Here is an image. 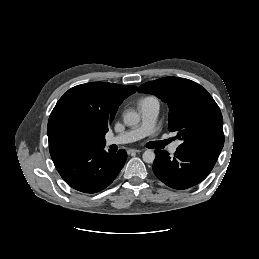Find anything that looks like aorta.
Here are the masks:
<instances>
[{
  "instance_id": "1",
  "label": "aorta",
  "mask_w": 259,
  "mask_h": 259,
  "mask_svg": "<svg viewBox=\"0 0 259 259\" xmlns=\"http://www.w3.org/2000/svg\"><path fill=\"white\" fill-rule=\"evenodd\" d=\"M140 122V115L134 110L127 111L124 114V123L128 126L137 125ZM143 161L146 163H153L155 153L152 150H146L142 155Z\"/></svg>"
}]
</instances>
